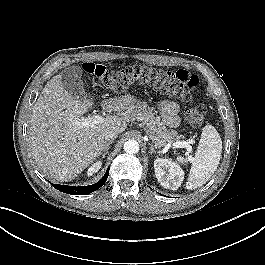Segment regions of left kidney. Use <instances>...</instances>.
Listing matches in <instances>:
<instances>
[{"label":"left kidney","mask_w":265,"mask_h":265,"mask_svg":"<svg viewBox=\"0 0 265 265\" xmlns=\"http://www.w3.org/2000/svg\"><path fill=\"white\" fill-rule=\"evenodd\" d=\"M154 169L156 178L162 187L171 190H177L180 187L184 179V171L171 159H155Z\"/></svg>","instance_id":"5707ae66"}]
</instances>
